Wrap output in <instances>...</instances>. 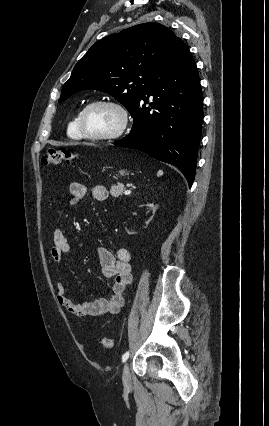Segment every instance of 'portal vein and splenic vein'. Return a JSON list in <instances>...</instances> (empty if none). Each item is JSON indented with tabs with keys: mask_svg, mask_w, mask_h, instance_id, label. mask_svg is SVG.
<instances>
[{
	"mask_svg": "<svg viewBox=\"0 0 269 426\" xmlns=\"http://www.w3.org/2000/svg\"><path fill=\"white\" fill-rule=\"evenodd\" d=\"M131 193V191L130 190H126L125 192H124V194L125 195H129Z\"/></svg>",
	"mask_w": 269,
	"mask_h": 426,
	"instance_id": "obj_1",
	"label": "portal vein and splenic vein"
}]
</instances>
